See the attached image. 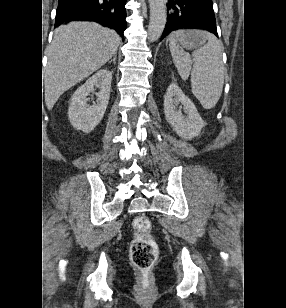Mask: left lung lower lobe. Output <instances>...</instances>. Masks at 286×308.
<instances>
[{"label": "left lung lower lobe", "instance_id": "left-lung-lower-lobe-1", "mask_svg": "<svg viewBox=\"0 0 286 308\" xmlns=\"http://www.w3.org/2000/svg\"><path fill=\"white\" fill-rule=\"evenodd\" d=\"M161 39L173 30L204 29L218 37L212 0H170Z\"/></svg>", "mask_w": 286, "mask_h": 308}]
</instances>
